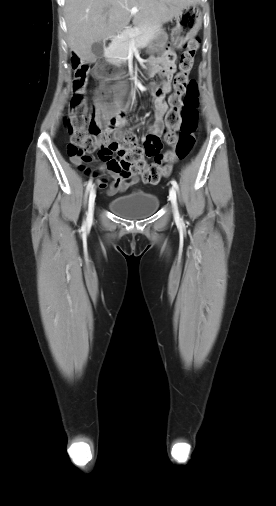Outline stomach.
I'll list each match as a JSON object with an SVG mask.
<instances>
[{
	"mask_svg": "<svg viewBox=\"0 0 276 506\" xmlns=\"http://www.w3.org/2000/svg\"><path fill=\"white\" fill-rule=\"evenodd\" d=\"M176 27L171 34L173 46L181 49L197 33L202 24V14L196 4L186 6L175 17ZM168 40V35L164 31L156 34L148 43L147 48L151 53H160Z\"/></svg>",
	"mask_w": 276,
	"mask_h": 506,
	"instance_id": "0dacf381",
	"label": "stomach"
}]
</instances>
